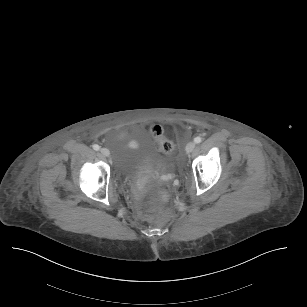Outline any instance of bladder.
Listing matches in <instances>:
<instances>
[{
	"label": "bladder",
	"instance_id": "31cf9c89",
	"mask_svg": "<svg viewBox=\"0 0 307 307\" xmlns=\"http://www.w3.org/2000/svg\"><path fill=\"white\" fill-rule=\"evenodd\" d=\"M165 160L166 158L162 154L152 148L134 146L127 149L122 155L120 168L125 176L134 177Z\"/></svg>",
	"mask_w": 307,
	"mask_h": 307
}]
</instances>
